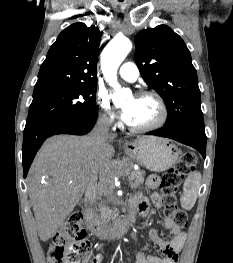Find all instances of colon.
Segmentation results:
<instances>
[{
    "instance_id": "colon-1",
    "label": "colon",
    "mask_w": 233,
    "mask_h": 263,
    "mask_svg": "<svg viewBox=\"0 0 233 263\" xmlns=\"http://www.w3.org/2000/svg\"><path fill=\"white\" fill-rule=\"evenodd\" d=\"M195 163L196 155L184 152L176 165L166 171L161 179L164 215L180 228L188 225V216L177 203V191ZM82 224L81 212H73L68 216L48 244L49 263H92V246L85 237Z\"/></svg>"
}]
</instances>
